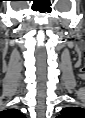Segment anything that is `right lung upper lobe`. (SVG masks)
<instances>
[{"instance_id":"cb5924a9","label":"right lung upper lobe","mask_w":85,"mask_h":118,"mask_svg":"<svg viewBox=\"0 0 85 118\" xmlns=\"http://www.w3.org/2000/svg\"><path fill=\"white\" fill-rule=\"evenodd\" d=\"M9 111L12 112V113H19V111L18 110H15V109H11Z\"/></svg>"}]
</instances>
